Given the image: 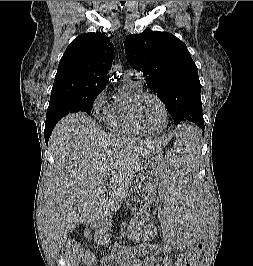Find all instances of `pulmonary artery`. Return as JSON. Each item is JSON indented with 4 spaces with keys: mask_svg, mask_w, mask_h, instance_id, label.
<instances>
[{
    "mask_svg": "<svg viewBox=\"0 0 253 266\" xmlns=\"http://www.w3.org/2000/svg\"><path fill=\"white\" fill-rule=\"evenodd\" d=\"M125 80L127 81H132V82H136V83H139L141 84L142 82V77L140 75V73L138 72H135L133 70H130L126 73L125 75Z\"/></svg>",
    "mask_w": 253,
    "mask_h": 266,
    "instance_id": "e3ab8cb5",
    "label": "pulmonary artery"
}]
</instances>
